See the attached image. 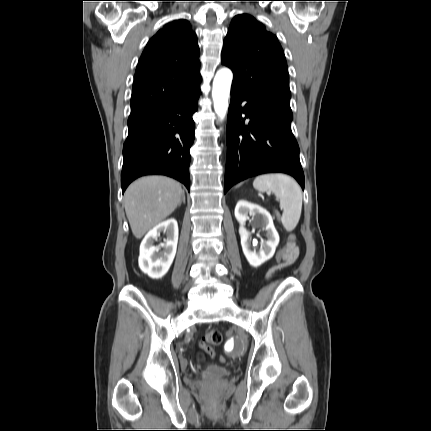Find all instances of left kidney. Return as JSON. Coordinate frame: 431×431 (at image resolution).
Masks as SVG:
<instances>
[{"label": "left kidney", "mask_w": 431, "mask_h": 431, "mask_svg": "<svg viewBox=\"0 0 431 431\" xmlns=\"http://www.w3.org/2000/svg\"><path fill=\"white\" fill-rule=\"evenodd\" d=\"M248 214L253 217V222L256 226L266 231L267 240L261 242L258 251L251 247L250 233L243 227L248 219ZM235 218L241 225L239 228L241 246L249 264L253 267H258L271 259L279 244V235L274 227L270 213L259 205L240 200L235 207Z\"/></svg>", "instance_id": "1"}]
</instances>
